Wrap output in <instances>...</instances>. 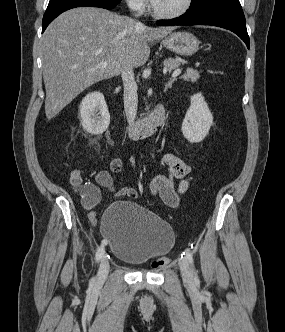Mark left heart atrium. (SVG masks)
I'll list each match as a JSON object with an SVG mask.
<instances>
[{
    "mask_svg": "<svg viewBox=\"0 0 285 332\" xmlns=\"http://www.w3.org/2000/svg\"><path fill=\"white\" fill-rule=\"evenodd\" d=\"M150 1L152 2L153 5H155L158 2V0H150Z\"/></svg>",
    "mask_w": 285,
    "mask_h": 332,
    "instance_id": "1",
    "label": "left heart atrium"
}]
</instances>
